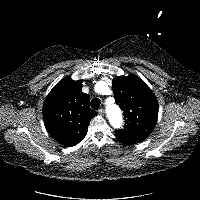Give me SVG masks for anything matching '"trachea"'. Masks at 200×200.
<instances>
[{
  "instance_id": "obj_1",
  "label": "trachea",
  "mask_w": 200,
  "mask_h": 200,
  "mask_svg": "<svg viewBox=\"0 0 200 200\" xmlns=\"http://www.w3.org/2000/svg\"><path fill=\"white\" fill-rule=\"evenodd\" d=\"M100 104H101V101L99 98H93L91 100V107L94 109V110H98V108L100 107Z\"/></svg>"
}]
</instances>
